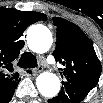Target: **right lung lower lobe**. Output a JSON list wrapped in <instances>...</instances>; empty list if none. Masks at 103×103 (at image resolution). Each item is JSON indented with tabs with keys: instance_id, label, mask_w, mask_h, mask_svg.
<instances>
[{
	"instance_id": "1",
	"label": "right lung lower lobe",
	"mask_w": 103,
	"mask_h": 103,
	"mask_svg": "<svg viewBox=\"0 0 103 103\" xmlns=\"http://www.w3.org/2000/svg\"><path fill=\"white\" fill-rule=\"evenodd\" d=\"M17 85H18V83H17ZM17 85H15L14 87H12V88H11L9 91H7L6 93H3V94L0 95V102H1V103H8V102L11 100V98H12V96H13V93H14Z\"/></svg>"
}]
</instances>
